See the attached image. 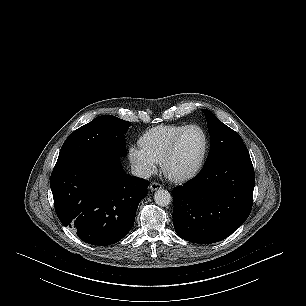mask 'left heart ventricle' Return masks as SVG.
Segmentation results:
<instances>
[{
  "mask_svg": "<svg viewBox=\"0 0 306 306\" xmlns=\"http://www.w3.org/2000/svg\"><path fill=\"white\" fill-rule=\"evenodd\" d=\"M204 149V136L200 130L192 128L183 136L176 157L171 162V173L180 174L192 170L199 162Z\"/></svg>",
  "mask_w": 306,
  "mask_h": 306,
  "instance_id": "1",
  "label": "left heart ventricle"
}]
</instances>
